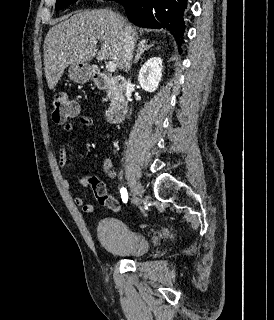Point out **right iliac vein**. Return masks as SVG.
<instances>
[{"mask_svg":"<svg viewBox=\"0 0 274 320\" xmlns=\"http://www.w3.org/2000/svg\"><path fill=\"white\" fill-rule=\"evenodd\" d=\"M133 188H134V193H135L134 197H133V201H134L135 205H140V203L142 201L141 197H142V194L144 193V189L139 182H135L133 185Z\"/></svg>","mask_w":274,"mask_h":320,"instance_id":"63e3f726","label":"right iliac vein"}]
</instances>
